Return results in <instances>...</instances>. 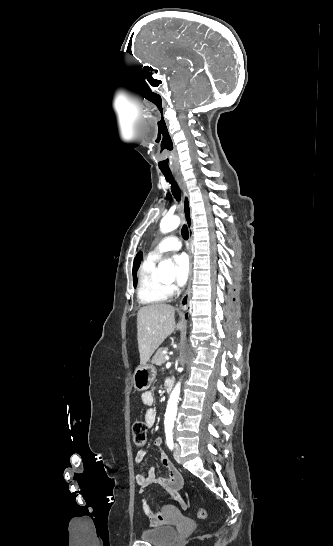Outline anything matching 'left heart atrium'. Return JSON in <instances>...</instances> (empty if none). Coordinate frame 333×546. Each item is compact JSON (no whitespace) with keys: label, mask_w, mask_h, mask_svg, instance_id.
Returning a JSON list of instances; mask_svg holds the SVG:
<instances>
[{"label":"left heart atrium","mask_w":333,"mask_h":546,"mask_svg":"<svg viewBox=\"0 0 333 546\" xmlns=\"http://www.w3.org/2000/svg\"><path fill=\"white\" fill-rule=\"evenodd\" d=\"M176 269V282L178 285L186 283L190 273V260L187 254L181 253L174 256Z\"/></svg>","instance_id":"obj_1"}]
</instances>
